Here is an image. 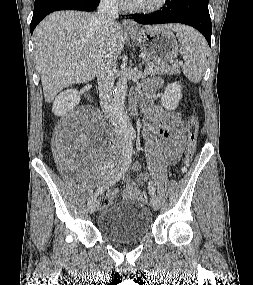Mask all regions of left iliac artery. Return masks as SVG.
Instances as JSON below:
<instances>
[{
  "label": "left iliac artery",
  "mask_w": 253,
  "mask_h": 285,
  "mask_svg": "<svg viewBox=\"0 0 253 285\" xmlns=\"http://www.w3.org/2000/svg\"><path fill=\"white\" fill-rule=\"evenodd\" d=\"M136 136L135 134L131 135V138L134 139ZM148 191L150 194L154 195L155 194V188H154V185H153V182L152 181H149L148 183Z\"/></svg>",
  "instance_id": "1"
}]
</instances>
